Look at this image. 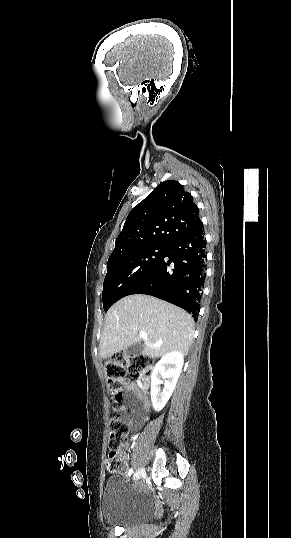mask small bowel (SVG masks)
Segmentation results:
<instances>
[{"label":"small bowel","instance_id":"c3829d8e","mask_svg":"<svg viewBox=\"0 0 291 538\" xmlns=\"http://www.w3.org/2000/svg\"><path fill=\"white\" fill-rule=\"evenodd\" d=\"M125 389L127 392L131 393L132 395L129 396L128 404L131 409V417L129 419V426L132 428H138L144 416L149 410V401L148 398L143 390V386L139 382H131L128 383L125 386ZM120 410L124 411L125 413H128V408L126 406H122ZM120 460L127 464L128 456L126 453L120 454Z\"/></svg>","mask_w":291,"mask_h":538}]
</instances>
